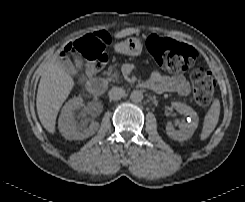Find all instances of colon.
Listing matches in <instances>:
<instances>
[{
    "label": "colon",
    "instance_id": "colon-1",
    "mask_svg": "<svg viewBox=\"0 0 245 202\" xmlns=\"http://www.w3.org/2000/svg\"><path fill=\"white\" fill-rule=\"evenodd\" d=\"M110 38L101 32L88 34L71 41L66 46L63 57H84L87 60L85 66L76 70V76L87 70H100L108 62L107 49ZM147 50L152 59L163 69L170 72L188 71L198 58L197 50L185 43L174 40H164L151 36L147 42ZM67 60V59H66ZM194 99L204 108H209L214 89L215 80L212 75L201 69L192 72Z\"/></svg>",
    "mask_w": 245,
    "mask_h": 202
}]
</instances>
